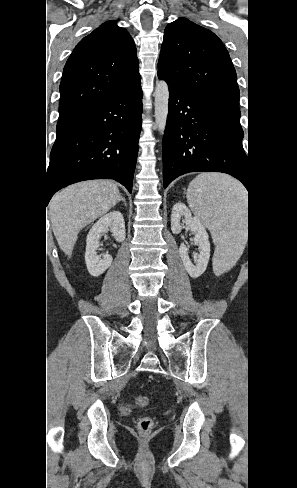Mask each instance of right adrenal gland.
Returning <instances> with one entry per match:
<instances>
[{
	"instance_id": "right-adrenal-gland-1",
	"label": "right adrenal gland",
	"mask_w": 297,
	"mask_h": 488,
	"mask_svg": "<svg viewBox=\"0 0 297 488\" xmlns=\"http://www.w3.org/2000/svg\"><path fill=\"white\" fill-rule=\"evenodd\" d=\"M122 201L124 203V205L126 206V200L123 196H120V199L118 202Z\"/></svg>"
}]
</instances>
